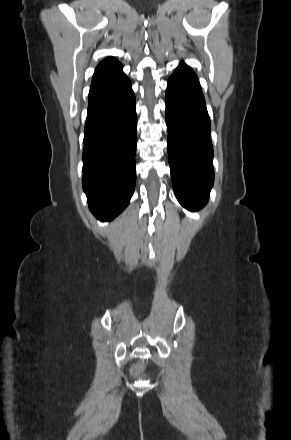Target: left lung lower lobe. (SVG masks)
Masks as SVG:
<instances>
[{
	"instance_id": "left-lung-lower-lobe-1",
	"label": "left lung lower lobe",
	"mask_w": 291,
	"mask_h": 440,
	"mask_svg": "<svg viewBox=\"0 0 291 440\" xmlns=\"http://www.w3.org/2000/svg\"><path fill=\"white\" fill-rule=\"evenodd\" d=\"M168 157L179 203L195 211L202 208L213 186V148L210 120L196 74L181 63L166 90Z\"/></svg>"
}]
</instances>
